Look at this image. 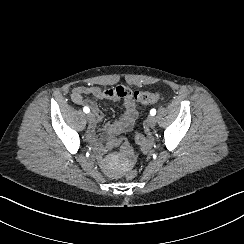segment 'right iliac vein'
<instances>
[{"instance_id": "63e3f726", "label": "right iliac vein", "mask_w": 244, "mask_h": 244, "mask_svg": "<svg viewBox=\"0 0 244 244\" xmlns=\"http://www.w3.org/2000/svg\"><path fill=\"white\" fill-rule=\"evenodd\" d=\"M87 120L89 122H93L95 120V115L92 112L88 113L87 114Z\"/></svg>"}]
</instances>
